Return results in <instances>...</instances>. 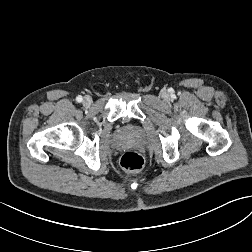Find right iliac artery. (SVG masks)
<instances>
[{"mask_svg":"<svg viewBox=\"0 0 252 252\" xmlns=\"http://www.w3.org/2000/svg\"><path fill=\"white\" fill-rule=\"evenodd\" d=\"M82 100H83L82 96H78V97L76 98V101L79 102V103L82 102Z\"/></svg>","mask_w":252,"mask_h":252,"instance_id":"right-iliac-artery-1","label":"right iliac artery"}]
</instances>
